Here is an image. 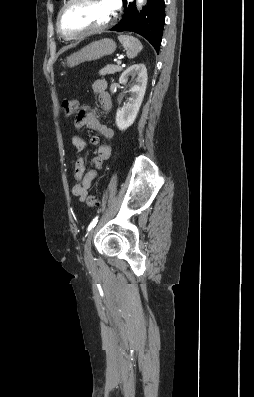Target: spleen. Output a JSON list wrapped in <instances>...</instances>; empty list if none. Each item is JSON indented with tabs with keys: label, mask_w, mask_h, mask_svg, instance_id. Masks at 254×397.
Segmentation results:
<instances>
[{
	"label": "spleen",
	"mask_w": 254,
	"mask_h": 397,
	"mask_svg": "<svg viewBox=\"0 0 254 397\" xmlns=\"http://www.w3.org/2000/svg\"><path fill=\"white\" fill-rule=\"evenodd\" d=\"M118 39L125 48L126 54L129 58L136 57L143 48L141 42L133 36L119 35Z\"/></svg>",
	"instance_id": "obj_1"
}]
</instances>
